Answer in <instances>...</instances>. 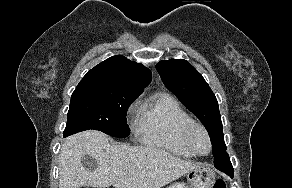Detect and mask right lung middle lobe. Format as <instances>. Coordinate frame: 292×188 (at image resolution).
<instances>
[{
    "instance_id": "dd1d6c3e",
    "label": "right lung middle lobe",
    "mask_w": 292,
    "mask_h": 188,
    "mask_svg": "<svg viewBox=\"0 0 292 188\" xmlns=\"http://www.w3.org/2000/svg\"><path fill=\"white\" fill-rule=\"evenodd\" d=\"M138 94L97 84L76 87L71 96L63 136L96 129L114 137L129 136L126 113Z\"/></svg>"
}]
</instances>
